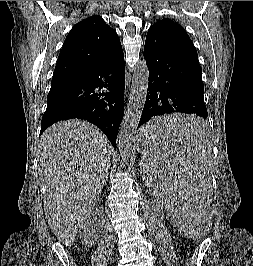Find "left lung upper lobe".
<instances>
[{"label": "left lung upper lobe", "instance_id": "5c2ea615", "mask_svg": "<svg viewBox=\"0 0 253 266\" xmlns=\"http://www.w3.org/2000/svg\"><path fill=\"white\" fill-rule=\"evenodd\" d=\"M159 28H163L169 32L174 33V34H179V35H182V36L189 38V36L186 33V31L184 30V28L181 25H179L178 23L173 22L172 20H169V19L159 20L153 26H151L148 31L154 30V29H159Z\"/></svg>", "mask_w": 253, "mask_h": 266}]
</instances>
